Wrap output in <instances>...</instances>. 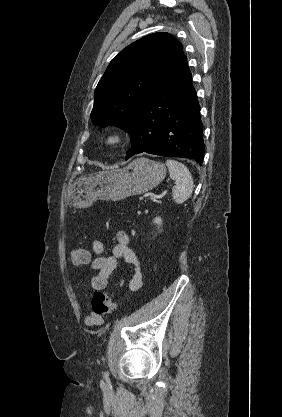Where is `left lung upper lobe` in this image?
<instances>
[{
	"label": "left lung upper lobe",
	"mask_w": 282,
	"mask_h": 417,
	"mask_svg": "<svg viewBox=\"0 0 282 417\" xmlns=\"http://www.w3.org/2000/svg\"><path fill=\"white\" fill-rule=\"evenodd\" d=\"M183 56L169 33H154L124 48L109 64L94 92L93 124L129 132L137 110Z\"/></svg>",
	"instance_id": "left-lung-upper-lobe-1"
}]
</instances>
